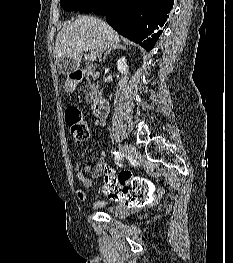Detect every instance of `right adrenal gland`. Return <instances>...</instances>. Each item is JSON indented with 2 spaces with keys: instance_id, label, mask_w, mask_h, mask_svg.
<instances>
[{
  "instance_id": "2a0ac1e0",
  "label": "right adrenal gland",
  "mask_w": 233,
  "mask_h": 263,
  "mask_svg": "<svg viewBox=\"0 0 233 263\" xmlns=\"http://www.w3.org/2000/svg\"><path fill=\"white\" fill-rule=\"evenodd\" d=\"M115 49H123V50H124V49H126V47L123 46V45H121V44H120V41L113 43V44L110 46V48L106 51V53H105V55H104V62L106 61V58H107V56L110 54V52H111L112 50H115Z\"/></svg>"
}]
</instances>
